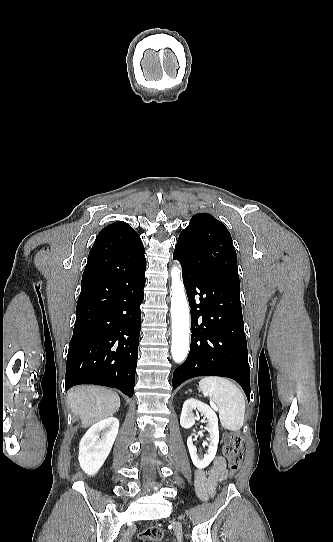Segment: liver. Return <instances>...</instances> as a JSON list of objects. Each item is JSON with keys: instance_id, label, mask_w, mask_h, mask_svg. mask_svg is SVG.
<instances>
[{"instance_id": "obj_1", "label": "liver", "mask_w": 333, "mask_h": 542, "mask_svg": "<svg viewBox=\"0 0 333 542\" xmlns=\"http://www.w3.org/2000/svg\"><path fill=\"white\" fill-rule=\"evenodd\" d=\"M68 404L73 414L80 416L82 428H89L104 418H112L120 408V398L106 388L77 386L69 390Z\"/></svg>"}]
</instances>
